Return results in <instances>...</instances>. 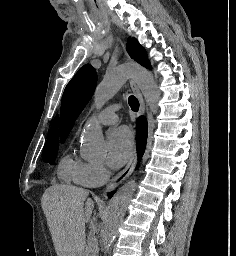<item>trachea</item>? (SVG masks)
Listing matches in <instances>:
<instances>
[{"instance_id":"3493384b","label":"trachea","mask_w":236,"mask_h":256,"mask_svg":"<svg viewBox=\"0 0 236 256\" xmlns=\"http://www.w3.org/2000/svg\"><path fill=\"white\" fill-rule=\"evenodd\" d=\"M128 103L133 111L139 110V101L135 96L133 95L129 96Z\"/></svg>"}]
</instances>
